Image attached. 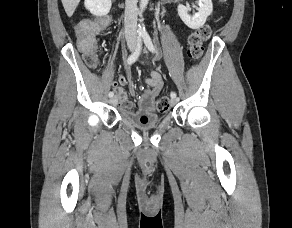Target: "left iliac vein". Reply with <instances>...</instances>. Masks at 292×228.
<instances>
[{
    "instance_id": "obj_1",
    "label": "left iliac vein",
    "mask_w": 292,
    "mask_h": 228,
    "mask_svg": "<svg viewBox=\"0 0 292 228\" xmlns=\"http://www.w3.org/2000/svg\"><path fill=\"white\" fill-rule=\"evenodd\" d=\"M171 105L174 106L178 103V99L177 98H171V101H170Z\"/></svg>"
}]
</instances>
